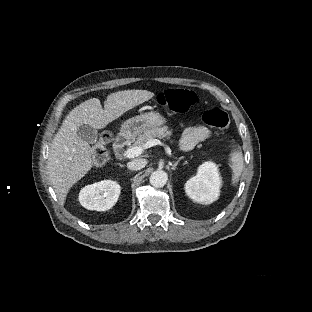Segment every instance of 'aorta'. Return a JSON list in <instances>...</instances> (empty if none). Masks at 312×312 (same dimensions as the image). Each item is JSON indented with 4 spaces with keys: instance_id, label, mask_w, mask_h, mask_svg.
I'll return each mask as SVG.
<instances>
[{
    "instance_id": "762f6f07",
    "label": "aorta",
    "mask_w": 312,
    "mask_h": 312,
    "mask_svg": "<svg viewBox=\"0 0 312 312\" xmlns=\"http://www.w3.org/2000/svg\"><path fill=\"white\" fill-rule=\"evenodd\" d=\"M168 180V175L163 170H156L150 176V184L154 187H163Z\"/></svg>"
}]
</instances>
